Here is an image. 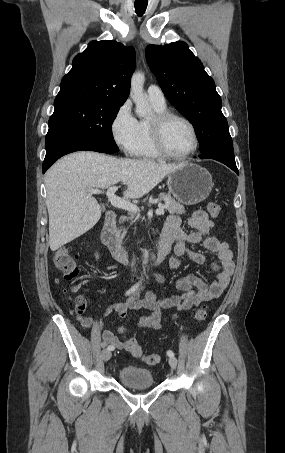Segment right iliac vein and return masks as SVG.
Masks as SVG:
<instances>
[{
    "label": "right iliac vein",
    "mask_w": 285,
    "mask_h": 453,
    "mask_svg": "<svg viewBox=\"0 0 285 453\" xmlns=\"http://www.w3.org/2000/svg\"><path fill=\"white\" fill-rule=\"evenodd\" d=\"M111 358V350L109 349H104L102 351V359L103 361H108Z\"/></svg>",
    "instance_id": "right-iliac-vein-1"
}]
</instances>
